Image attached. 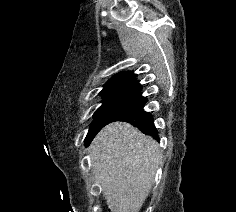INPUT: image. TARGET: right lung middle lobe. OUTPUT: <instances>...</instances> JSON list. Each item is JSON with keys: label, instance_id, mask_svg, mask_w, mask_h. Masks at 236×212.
<instances>
[{"label": "right lung middle lobe", "instance_id": "right-lung-middle-lobe-1", "mask_svg": "<svg viewBox=\"0 0 236 212\" xmlns=\"http://www.w3.org/2000/svg\"><path fill=\"white\" fill-rule=\"evenodd\" d=\"M129 92H118L103 95L102 105L94 113V120L85 138L88 144L94 136L105 126L107 121L115 114L121 104L127 99Z\"/></svg>", "mask_w": 236, "mask_h": 212}]
</instances>
